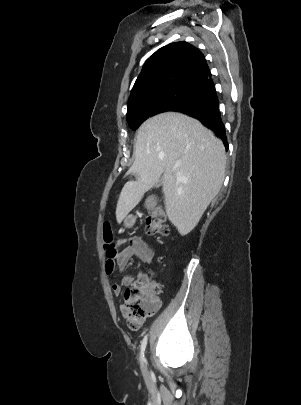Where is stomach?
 Here are the masks:
<instances>
[{"label": "stomach", "mask_w": 301, "mask_h": 405, "mask_svg": "<svg viewBox=\"0 0 301 405\" xmlns=\"http://www.w3.org/2000/svg\"><path fill=\"white\" fill-rule=\"evenodd\" d=\"M133 221H134V218H133L132 216H128V217L126 218V220H125V222H126L127 224H131Z\"/></svg>", "instance_id": "stomach-1"}]
</instances>
